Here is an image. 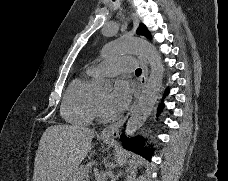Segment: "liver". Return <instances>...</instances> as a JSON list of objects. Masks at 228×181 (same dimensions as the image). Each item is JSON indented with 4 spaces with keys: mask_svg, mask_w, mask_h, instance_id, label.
Masks as SVG:
<instances>
[{
    "mask_svg": "<svg viewBox=\"0 0 228 181\" xmlns=\"http://www.w3.org/2000/svg\"><path fill=\"white\" fill-rule=\"evenodd\" d=\"M94 135L87 127H48L36 151L33 181H66L88 157Z\"/></svg>",
    "mask_w": 228,
    "mask_h": 181,
    "instance_id": "1",
    "label": "liver"
}]
</instances>
